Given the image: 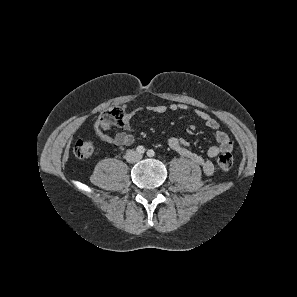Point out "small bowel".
<instances>
[{
    "instance_id": "small-bowel-1",
    "label": "small bowel",
    "mask_w": 297,
    "mask_h": 297,
    "mask_svg": "<svg viewBox=\"0 0 297 297\" xmlns=\"http://www.w3.org/2000/svg\"><path fill=\"white\" fill-rule=\"evenodd\" d=\"M148 110L157 114H162L167 111H187L189 106L186 104H170V105H155L148 107ZM193 113L203 120L206 126L215 132L216 145L211 146L207 150V157H204L189 148V143L180 137H171L168 140V146L182 157L191 160L194 164L200 166L205 175L210 176L214 172V165L211 159L217 157L221 153L230 152L233 148L232 141L226 132L220 130L219 122L208 112L202 109H193ZM131 114H126L124 123L121 125L123 131L117 132L114 135L107 134L106 128L99 125L97 122L94 126L96 135L104 142L114 144L116 146H130L134 143L135 137L132 133L133 128L130 123Z\"/></svg>"
}]
</instances>
